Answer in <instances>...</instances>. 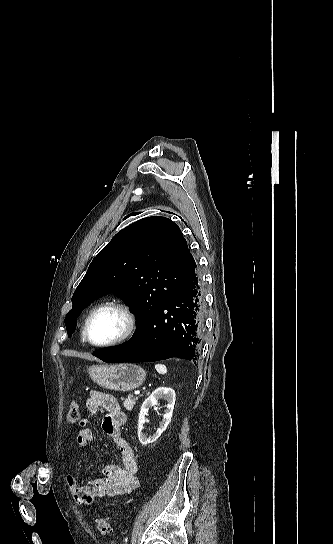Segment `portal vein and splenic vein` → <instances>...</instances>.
Wrapping results in <instances>:
<instances>
[{
  "instance_id": "1",
  "label": "portal vein and splenic vein",
  "mask_w": 333,
  "mask_h": 544,
  "mask_svg": "<svg viewBox=\"0 0 333 544\" xmlns=\"http://www.w3.org/2000/svg\"><path fill=\"white\" fill-rule=\"evenodd\" d=\"M139 393H140V391H136V392H135V395H138Z\"/></svg>"
}]
</instances>
